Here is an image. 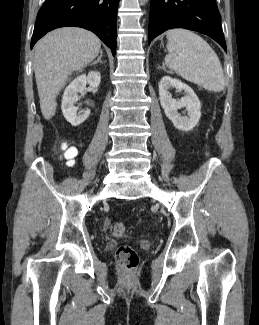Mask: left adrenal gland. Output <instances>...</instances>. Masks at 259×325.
Masks as SVG:
<instances>
[{"mask_svg":"<svg viewBox=\"0 0 259 325\" xmlns=\"http://www.w3.org/2000/svg\"><path fill=\"white\" fill-rule=\"evenodd\" d=\"M161 69H163L164 71H166V69H165V66L163 65L162 67H160Z\"/></svg>","mask_w":259,"mask_h":325,"instance_id":"1","label":"left adrenal gland"}]
</instances>
